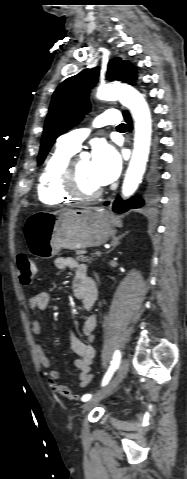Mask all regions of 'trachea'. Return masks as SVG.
<instances>
[{
	"instance_id": "trachea-1",
	"label": "trachea",
	"mask_w": 187,
	"mask_h": 479,
	"mask_svg": "<svg viewBox=\"0 0 187 479\" xmlns=\"http://www.w3.org/2000/svg\"><path fill=\"white\" fill-rule=\"evenodd\" d=\"M118 129H125L126 128V125L124 123L120 124L118 127Z\"/></svg>"
}]
</instances>
